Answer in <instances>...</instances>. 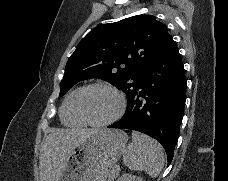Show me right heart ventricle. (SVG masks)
<instances>
[{
    "mask_svg": "<svg viewBox=\"0 0 228 181\" xmlns=\"http://www.w3.org/2000/svg\"><path fill=\"white\" fill-rule=\"evenodd\" d=\"M82 88L73 91L63 104L61 118L65 125L71 127H80L84 125V122L78 117L75 102Z\"/></svg>",
    "mask_w": 228,
    "mask_h": 181,
    "instance_id": "1",
    "label": "right heart ventricle"
}]
</instances>
